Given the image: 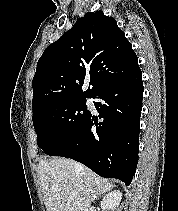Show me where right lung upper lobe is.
Segmentation results:
<instances>
[{
	"label": "right lung upper lobe",
	"mask_w": 178,
	"mask_h": 211,
	"mask_svg": "<svg viewBox=\"0 0 178 211\" xmlns=\"http://www.w3.org/2000/svg\"><path fill=\"white\" fill-rule=\"evenodd\" d=\"M138 58L115 19L86 13L40 57L33 78V115L51 104L92 98L130 75ZM86 80L88 90L82 91Z\"/></svg>",
	"instance_id": "cb5924a9"
}]
</instances>
